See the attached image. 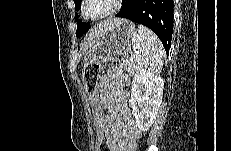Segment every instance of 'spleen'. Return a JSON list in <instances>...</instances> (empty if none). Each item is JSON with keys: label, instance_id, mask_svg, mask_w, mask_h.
<instances>
[{"label": "spleen", "instance_id": "1", "mask_svg": "<svg viewBox=\"0 0 231 151\" xmlns=\"http://www.w3.org/2000/svg\"><path fill=\"white\" fill-rule=\"evenodd\" d=\"M132 47L138 68H145L151 74L161 72L165 51L157 35L149 28L139 25L132 34Z\"/></svg>", "mask_w": 231, "mask_h": 151}]
</instances>
